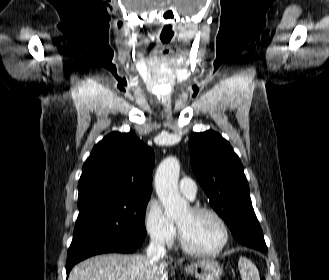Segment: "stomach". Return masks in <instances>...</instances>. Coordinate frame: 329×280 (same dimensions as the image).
<instances>
[{"label":"stomach","mask_w":329,"mask_h":280,"mask_svg":"<svg viewBox=\"0 0 329 280\" xmlns=\"http://www.w3.org/2000/svg\"><path fill=\"white\" fill-rule=\"evenodd\" d=\"M186 271L199 280H219L223 269L217 261L203 259L188 265Z\"/></svg>","instance_id":"stomach-1"}]
</instances>
